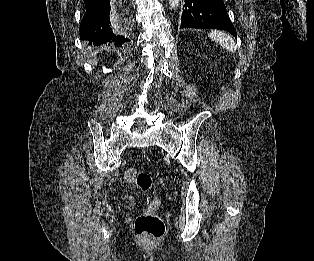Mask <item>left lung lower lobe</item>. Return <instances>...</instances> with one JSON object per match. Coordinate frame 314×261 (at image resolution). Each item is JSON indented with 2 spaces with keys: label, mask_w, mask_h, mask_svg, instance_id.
I'll return each mask as SVG.
<instances>
[{
  "label": "left lung lower lobe",
  "mask_w": 314,
  "mask_h": 261,
  "mask_svg": "<svg viewBox=\"0 0 314 261\" xmlns=\"http://www.w3.org/2000/svg\"><path fill=\"white\" fill-rule=\"evenodd\" d=\"M181 28L221 29L237 36L223 0H185Z\"/></svg>",
  "instance_id": "left-lung-lower-lobe-1"
}]
</instances>
